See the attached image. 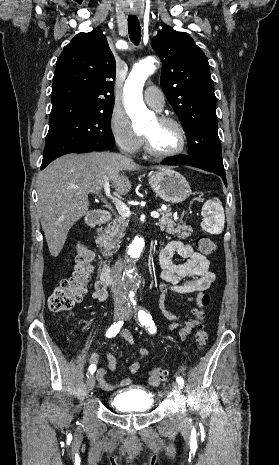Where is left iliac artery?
Here are the masks:
<instances>
[{
	"label": "left iliac artery",
	"instance_id": "left-iliac-artery-1",
	"mask_svg": "<svg viewBox=\"0 0 279 465\" xmlns=\"http://www.w3.org/2000/svg\"><path fill=\"white\" fill-rule=\"evenodd\" d=\"M136 310H137L139 322L143 326H146L150 333L152 334L155 333L156 327H155L154 321L152 320V316L143 309H136ZM176 381L178 382L179 385L183 386L184 380L182 377H177Z\"/></svg>",
	"mask_w": 279,
	"mask_h": 465
}]
</instances>
